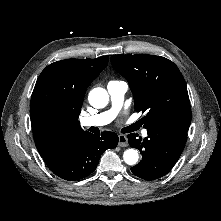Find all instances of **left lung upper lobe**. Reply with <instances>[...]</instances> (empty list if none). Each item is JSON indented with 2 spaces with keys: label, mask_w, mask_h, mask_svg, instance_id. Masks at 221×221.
I'll return each mask as SVG.
<instances>
[{
  "label": "left lung upper lobe",
  "mask_w": 221,
  "mask_h": 221,
  "mask_svg": "<svg viewBox=\"0 0 221 221\" xmlns=\"http://www.w3.org/2000/svg\"><path fill=\"white\" fill-rule=\"evenodd\" d=\"M111 63L129 82L134 108L145 112L144 127L188 131L191 108L185 80L170 60L154 55L111 56Z\"/></svg>",
  "instance_id": "5c2ea615"
}]
</instances>
